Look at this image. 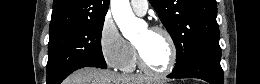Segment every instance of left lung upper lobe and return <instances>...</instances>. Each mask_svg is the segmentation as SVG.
Segmentation results:
<instances>
[{"label": "left lung upper lobe", "mask_w": 260, "mask_h": 84, "mask_svg": "<svg viewBox=\"0 0 260 84\" xmlns=\"http://www.w3.org/2000/svg\"><path fill=\"white\" fill-rule=\"evenodd\" d=\"M176 46V65L183 68L196 55L219 49L215 0H149Z\"/></svg>", "instance_id": "obj_1"}]
</instances>
